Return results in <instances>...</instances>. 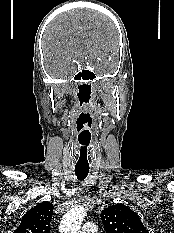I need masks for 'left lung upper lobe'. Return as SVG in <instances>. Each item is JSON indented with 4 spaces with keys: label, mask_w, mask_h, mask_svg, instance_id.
<instances>
[{
    "label": "left lung upper lobe",
    "mask_w": 174,
    "mask_h": 233,
    "mask_svg": "<svg viewBox=\"0 0 174 233\" xmlns=\"http://www.w3.org/2000/svg\"><path fill=\"white\" fill-rule=\"evenodd\" d=\"M100 217L106 233H149L139 216L124 204L109 206Z\"/></svg>",
    "instance_id": "left-lung-upper-lobe-1"
}]
</instances>
